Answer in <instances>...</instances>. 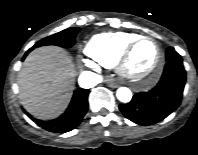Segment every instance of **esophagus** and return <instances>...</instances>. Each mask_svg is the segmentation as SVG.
I'll return each mask as SVG.
<instances>
[{
    "label": "esophagus",
    "mask_w": 198,
    "mask_h": 155,
    "mask_svg": "<svg viewBox=\"0 0 198 155\" xmlns=\"http://www.w3.org/2000/svg\"><path fill=\"white\" fill-rule=\"evenodd\" d=\"M105 82L111 88H117L119 86L118 83L115 82L112 78H106Z\"/></svg>",
    "instance_id": "34e87169"
}]
</instances>
